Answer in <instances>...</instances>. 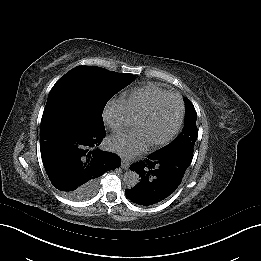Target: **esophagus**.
I'll return each mask as SVG.
<instances>
[{
  "instance_id": "obj_1",
  "label": "esophagus",
  "mask_w": 261,
  "mask_h": 261,
  "mask_svg": "<svg viewBox=\"0 0 261 261\" xmlns=\"http://www.w3.org/2000/svg\"><path fill=\"white\" fill-rule=\"evenodd\" d=\"M129 166H130V163H129V161H128V160H126V159H123V160H122L121 167H122L123 169H128V168H129Z\"/></svg>"
}]
</instances>
